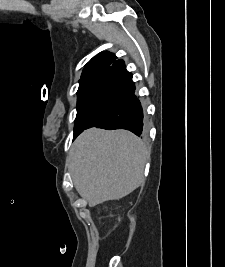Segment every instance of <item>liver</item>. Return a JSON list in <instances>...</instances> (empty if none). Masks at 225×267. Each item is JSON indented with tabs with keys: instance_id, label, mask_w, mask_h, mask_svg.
Segmentation results:
<instances>
[{
	"instance_id": "obj_1",
	"label": "liver",
	"mask_w": 225,
	"mask_h": 267,
	"mask_svg": "<svg viewBox=\"0 0 225 267\" xmlns=\"http://www.w3.org/2000/svg\"><path fill=\"white\" fill-rule=\"evenodd\" d=\"M149 155L143 141L129 131L92 128L74 141L68 167L77 192L95 207L138 188Z\"/></svg>"
}]
</instances>
